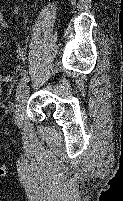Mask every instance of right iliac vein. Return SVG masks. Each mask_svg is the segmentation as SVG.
I'll return each mask as SVG.
<instances>
[{
	"label": "right iliac vein",
	"mask_w": 123,
	"mask_h": 201,
	"mask_svg": "<svg viewBox=\"0 0 123 201\" xmlns=\"http://www.w3.org/2000/svg\"><path fill=\"white\" fill-rule=\"evenodd\" d=\"M28 95H29V88H26L23 90V92L19 97L18 104L16 106L17 108L15 111V122L17 125H21Z\"/></svg>",
	"instance_id": "right-iliac-vein-1"
}]
</instances>
